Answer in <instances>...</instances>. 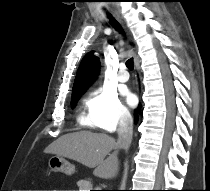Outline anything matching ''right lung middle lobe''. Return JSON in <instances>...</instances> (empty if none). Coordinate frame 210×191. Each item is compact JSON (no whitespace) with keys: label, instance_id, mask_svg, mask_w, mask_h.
<instances>
[{"label":"right lung middle lobe","instance_id":"dd1d6c3e","mask_svg":"<svg viewBox=\"0 0 210 191\" xmlns=\"http://www.w3.org/2000/svg\"><path fill=\"white\" fill-rule=\"evenodd\" d=\"M79 97H80V95H79V96H76V97H74V98H72V100H71V107H72V108L75 107L76 102L78 101Z\"/></svg>","mask_w":210,"mask_h":191}]
</instances>
